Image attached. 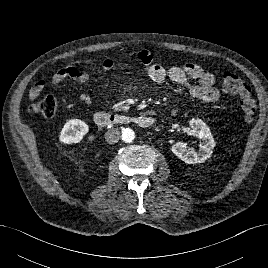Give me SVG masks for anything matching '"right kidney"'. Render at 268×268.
<instances>
[{"mask_svg":"<svg viewBox=\"0 0 268 268\" xmlns=\"http://www.w3.org/2000/svg\"><path fill=\"white\" fill-rule=\"evenodd\" d=\"M89 127L80 119H72L65 123L59 135V141L63 144L80 143L88 133Z\"/></svg>","mask_w":268,"mask_h":268,"instance_id":"1","label":"right kidney"}]
</instances>
